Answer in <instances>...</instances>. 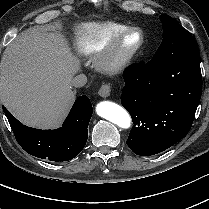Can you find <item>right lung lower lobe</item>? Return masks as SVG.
Listing matches in <instances>:
<instances>
[{
  "label": "right lung lower lobe",
  "instance_id": "98d812e1",
  "mask_svg": "<svg viewBox=\"0 0 209 209\" xmlns=\"http://www.w3.org/2000/svg\"><path fill=\"white\" fill-rule=\"evenodd\" d=\"M3 111L19 145L29 154L50 161H68L84 148L88 138V124L92 105L87 96H80L74 103L62 127L40 130L19 122L4 106Z\"/></svg>",
  "mask_w": 209,
  "mask_h": 209
}]
</instances>
